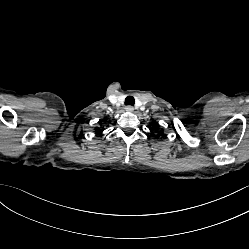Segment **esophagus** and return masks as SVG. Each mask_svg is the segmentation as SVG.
<instances>
[{
    "instance_id": "esophagus-1",
    "label": "esophagus",
    "mask_w": 249,
    "mask_h": 249,
    "mask_svg": "<svg viewBox=\"0 0 249 249\" xmlns=\"http://www.w3.org/2000/svg\"><path fill=\"white\" fill-rule=\"evenodd\" d=\"M125 110H126L127 112H133V111H134V107L128 105V106L125 107Z\"/></svg>"
}]
</instances>
